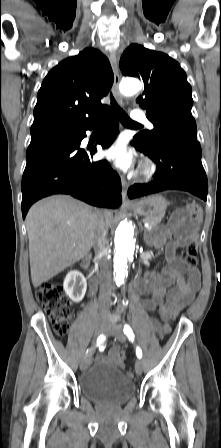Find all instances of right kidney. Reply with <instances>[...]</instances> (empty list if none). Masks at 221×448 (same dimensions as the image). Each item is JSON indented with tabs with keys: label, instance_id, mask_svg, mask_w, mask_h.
I'll return each instance as SVG.
<instances>
[{
	"label": "right kidney",
	"instance_id": "ca27d5eb",
	"mask_svg": "<svg viewBox=\"0 0 221 448\" xmlns=\"http://www.w3.org/2000/svg\"><path fill=\"white\" fill-rule=\"evenodd\" d=\"M63 288L69 298L73 302L78 303L84 298L87 282L81 272L72 270L66 275Z\"/></svg>",
	"mask_w": 221,
	"mask_h": 448
}]
</instances>
